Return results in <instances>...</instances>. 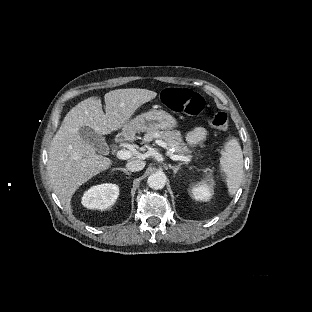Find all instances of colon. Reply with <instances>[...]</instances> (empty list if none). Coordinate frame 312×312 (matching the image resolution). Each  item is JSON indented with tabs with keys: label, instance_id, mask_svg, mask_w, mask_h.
I'll return each instance as SVG.
<instances>
[{
	"label": "colon",
	"instance_id": "1",
	"mask_svg": "<svg viewBox=\"0 0 312 312\" xmlns=\"http://www.w3.org/2000/svg\"><path fill=\"white\" fill-rule=\"evenodd\" d=\"M163 100L172 111L192 117L197 116L205 106L201 95L190 89L167 88ZM206 120L220 130H225L228 126V117L223 112L209 114Z\"/></svg>",
	"mask_w": 312,
	"mask_h": 312
}]
</instances>
